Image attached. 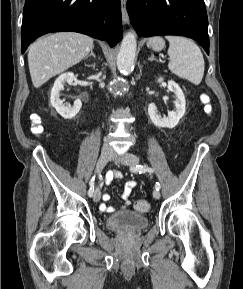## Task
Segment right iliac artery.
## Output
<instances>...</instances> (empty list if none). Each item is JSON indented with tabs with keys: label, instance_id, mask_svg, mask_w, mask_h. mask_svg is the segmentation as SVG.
I'll return each mask as SVG.
<instances>
[{
	"label": "right iliac artery",
	"instance_id": "1",
	"mask_svg": "<svg viewBox=\"0 0 243 289\" xmlns=\"http://www.w3.org/2000/svg\"><path fill=\"white\" fill-rule=\"evenodd\" d=\"M94 184H95V177L93 176L89 182V191H88V195L89 197H92L93 196V193H94Z\"/></svg>",
	"mask_w": 243,
	"mask_h": 289
}]
</instances>
